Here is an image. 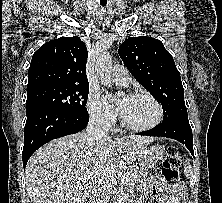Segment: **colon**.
<instances>
[{"instance_id": "1", "label": "colon", "mask_w": 222, "mask_h": 203, "mask_svg": "<svg viewBox=\"0 0 222 203\" xmlns=\"http://www.w3.org/2000/svg\"><path fill=\"white\" fill-rule=\"evenodd\" d=\"M180 163L181 155L178 149L174 146L168 147L161 166V174L165 181L173 184L177 183Z\"/></svg>"}]
</instances>
